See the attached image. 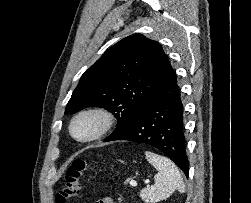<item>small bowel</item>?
Here are the masks:
<instances>
[{
	"label": "small bowel",
	"instance_id": "1",
	"mask_svg": "<svg viewBox=\"0 0 251 203\" xmlns=\"http://www.w3.org/2000/svg\"><path fill=\"white\" fill-rule=\"evenodd\" d=\"M97 203H115L111 198H104L99 200Z\"/></svg>",
	"mask_w": 251,
	"mask_h": 203
}]
</instances>
